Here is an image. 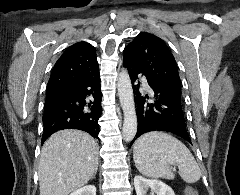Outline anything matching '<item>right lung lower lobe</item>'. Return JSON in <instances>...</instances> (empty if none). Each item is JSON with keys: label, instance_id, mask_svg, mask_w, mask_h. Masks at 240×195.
<instances>
[{"label": "right lung lower lobe", "instance_id": "98d812e1", "mask_svg": "<svg viewBox=\"0 0 240 195\" xmlns=\"http://www.w3.org/2000/svg\"><path fill=\"white\" fill-rule=\"evenodd\" d=\"M99 74L81 83L47 88L42 143L54 132L79 129L98 139L102 115Z\"/></svg>", "mask_w": 240, "mask_h": 195}]
</instances>
